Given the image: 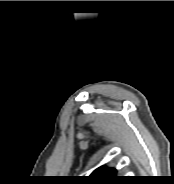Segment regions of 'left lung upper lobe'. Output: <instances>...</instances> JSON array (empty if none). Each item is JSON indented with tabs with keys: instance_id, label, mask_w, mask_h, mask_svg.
I'll list each match as a JSON object with an SVG mask.
<instances>
[{
	"instance_id": "1",
	"label": "left lung upper lobe",
	"mask_w": 174,
	"mask_h": 184,
	"mask_svg": "<svg viewBox=\"0 0 174 184\" xmlns=\"http://www.w3.org/2000/svg\"><path fill=\"white\" fill-rule=\"evenodd\" d=\"M123 177L116 175V170L101 166L97 168L90 176L85 178L89 184H114L122 180Z\"/></svg>"
}]
</instances>
